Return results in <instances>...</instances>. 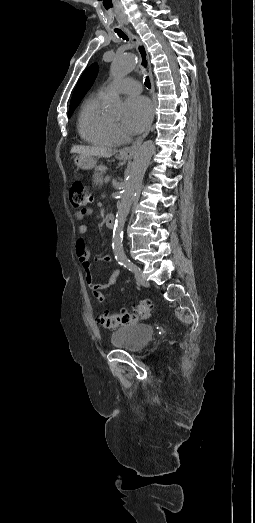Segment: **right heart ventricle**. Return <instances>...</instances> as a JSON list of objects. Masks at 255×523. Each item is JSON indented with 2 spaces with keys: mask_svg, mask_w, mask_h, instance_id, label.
<instances>
[{
  "mask_svg": "<svg viewBox=\"0 0 255 523\" xmlns=\"http://www.w3.org/2000/svg\"><path fill=\"white\" fill-rule=\"evenodd\" d=\"M107 94L102 91L88 98L82 105L78 120L81 138L92 145L112 146L117 137L111 126V118L103 112Z\"/></svg>",
  "mask_w": 255,
  "mask_h": 523,
  "instance_id": "e07e8e85",
  "label": "right heart ventricle"
}]
</instances>
